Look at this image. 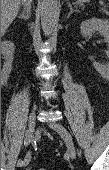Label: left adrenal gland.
Returning a JSON list of instances; mask_svg holds the SVG:
<instances>
[{"label":"left adrenal gland","instance_id":"1","mask_svg":"<svg viewBox=\"0 0 109 170\" xmlns=\"http://www.w3.org/2000/svg\"><path fill=\"white\" fill-rule=\"evenodd\" d=\"M68 7H69V9H70V12H69L67 18H69V17L72 15V13H74V12H79L78 9H74V8L72 7L71 3H68Z\"/></svg>","mask_w":109,"mask_h":170}]
</instances>
